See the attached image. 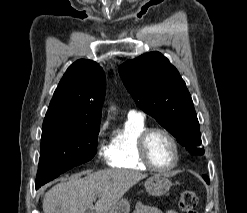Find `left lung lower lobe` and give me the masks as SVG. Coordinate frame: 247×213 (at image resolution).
<instances>
[{
	"label": "left lung lower lobe",
	"instance_id": "0a47b994",
	"mask_svg": "<svg viewBox=\"0 0 247 213\" xmlns=\"http://www.w3.org/2000/svg\"><path fill=\"white\" fill-rule=\"evenodd\" d=\"M203 178L205 179V181L208 179V177H207V176H203Z\"/></svg>",
	"mask_w": 247,
	"mask_h": 213
}]
</instances>
